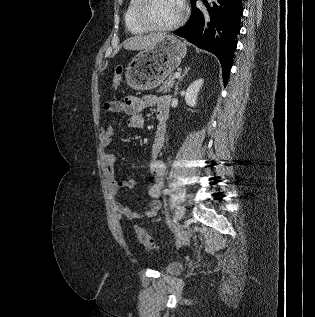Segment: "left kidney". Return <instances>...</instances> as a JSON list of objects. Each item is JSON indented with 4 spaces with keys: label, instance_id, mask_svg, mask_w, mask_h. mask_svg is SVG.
Instances as JSON below:
<instances>
[{
    "label": "left kidney",
    "instance_id": "obj_1",
    "mask_svg": "<svg viewBox=\"0 0 315 317\" xmlns=\"http://www.w3.org/2000/svg\"><path fill=\"white\" fill-rule=\"evenodd\" d=\"M203 83V79H198L191 83V85L187 88L185 93V101L187 105L191 107L196 106L198 93L200 92V88H202Z\"/></svg>",
    "mask_w": 315,
    "mask_h": 317
}]
</instances>
